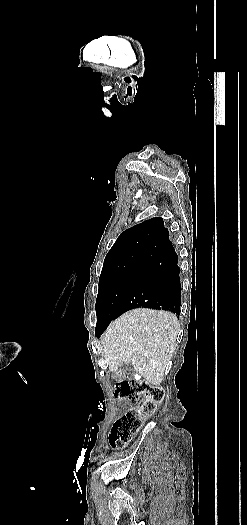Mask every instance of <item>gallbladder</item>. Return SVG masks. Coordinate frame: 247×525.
<instances>
[{"instance_id": "gallbladder-1", "label": "gallbladder", "mask_w": 247, "mask_h": 525, "mask_svg": "<svg viewBox=\"0 0 247 525\" xmlns=\"http://www.w3.org/2000/svg\"><path fill=\"white\" fill-rule=\"evenodd\" d=\"M132 368L133 365L131 363H123L122 369H120L119 373L120 375H123V377H131V375H135Z\"/></svg>"}]
</instances>
